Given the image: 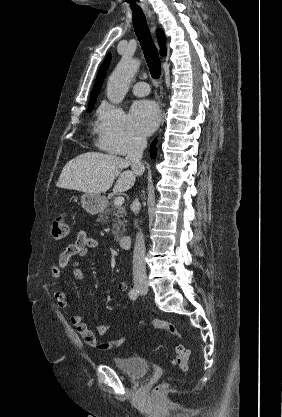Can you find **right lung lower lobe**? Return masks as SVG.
<instances>
[{"label": "right lung lower lobe", "instance_id": "obj_1", "mask_svg": "<svg viewBox=\"0 0 282 417\" xmlns=\"http://www.w3.org/2000/svg\"><path fill=\"white\" fill-rule=\"evenodd\" d=\"M156 143H157L156 139L151 143V148H150L151 158H155L156 156V151H157V148L155 147Z\"/></svg>", "mask_w": 282, "mask_h": 417}]
</instances>
